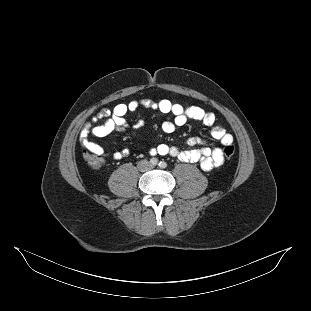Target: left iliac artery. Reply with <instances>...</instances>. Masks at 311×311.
<instances>
[{"mask_svg":"<svg viewBox=\"0 0 311 311\" xmlns=\"http://www.w3.org/2000/svg\"><path fill=\"white\" fill-rule=\"evenodd\" d=\"M158 165L160 168H166L167 167V163L165 161H160Z\"/></svg>","mask_w":311,"mask_h":311,"instance_id":"1","label":"left iliac artery"}]
</instances>
